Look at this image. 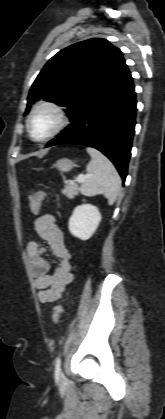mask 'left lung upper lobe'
Wrapping results in <instances>:
<instances>
[{
  "label": "left lung upper lobe",
  "mask_w": 165,
  "mask_h": 419,
  "mask_svg": "<svg viewBox=\"0 0 165 419\" xmlns=\"http://www.w3.org/2000/svg\"><path fill=\"white\" fill-rule=\"evenodd\" d=\"M126 67L121 51L105 39H89L62 49L32 84L24 115L34 101L43 98L67 107L71 119L88 98L98 94Z\"/></svg>",
  "instance_id": "5c2ea615"
}]
</instances>
